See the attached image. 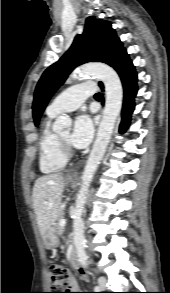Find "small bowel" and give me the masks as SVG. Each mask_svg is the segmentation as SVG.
Here are the masks:
<instances>
[{
    "label": "small bowel",
    "mask_w": 170,
    "mask_h": 293,
    "mask_svg": "<svg viewBox=\"0 0 170 293\" xmlns=\"http://www.w3.org/2000/svg\"><path fill=\"white\" fill-rule=\"evenodd\" d=\"M70 284L73 286V287H76V281L74 279H71L70 280Z\"/></svg>",
    "instance_id": "obj_1"
}]
</instances>
